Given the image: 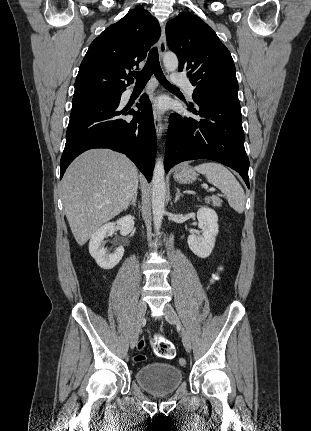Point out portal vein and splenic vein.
<instances>
[{
    "label": "portal vein and splenic vein",
    "mask_w": 311,
    "mask_h": 431,
    "mask_svg": "<svg viewBox=\"0 0 311 431\" xmlns=\"http://www.w3.org/2000/svg\"><path fill=\"white\" fill-rule=\"evenodd\" d=\"M207 192H216L215 188H206Z\"/></svg>",
    "instance_id": "portal-vein-and-splenic-vein-1"
}]
</instances>
